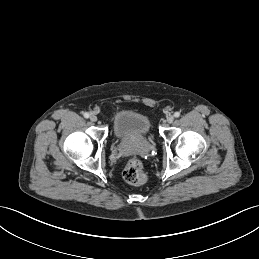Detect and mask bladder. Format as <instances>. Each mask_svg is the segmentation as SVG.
<instances>
[{
  "instance_id": "obj_1",
  "label": "bladder",
  "mask_w": 259,
  "mask_h": 259,
  "mask_svg": "<svg viewBox=\"0 0 259 259\" xmlns=\"http://www.w3.org/2000/svg\"><path fill=\"white\" fill-rule=\"evenodd\" d=\"M113 134L118 139H140L151 133L148 117L133 111H121L112 122Z\"/></svg>"
}]
</instances>
